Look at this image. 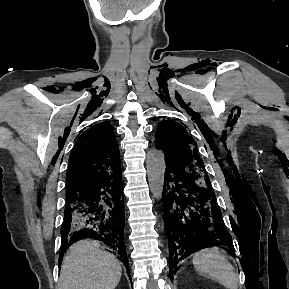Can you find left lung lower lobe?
Returning a JSON list of instances; mask_svg holds the SVG:
<instances>
[{"label":"left lung lower lobe","mask_w":289,"mask_h":289,"mask_svg":"<svg viewBox=\"0 0 289 289\" xmlns=\"http://www.w3.org/2000/svg\"><path fill=\"white\" fill-rule=\"evenodd\" d=\"M164 187L162 201L170 252V278L179 269L178 262L198 250L215 245L233 250L211 184L166 165Z\"/></svg>","instance_id":"left-lung-lower-lobe-1"}]
</instances>
